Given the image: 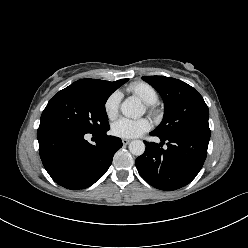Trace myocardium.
<instances>
[{"label":"myocardium","instance_id":"myocardium-1","mask_svg":"<svg viewBox=\"0 0 248 248\" xmlns=\"http://www.w3.org/2000/svg\"><path fill=\"white\" fill-rule=\"evenodd\" d=\"M151 110H152V111H155V108H154V106H153V105L151 106Z\"/></svg>","mask_w":248,"mask_h":248}]
</instances>
